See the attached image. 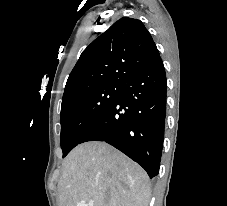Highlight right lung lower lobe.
<instances>
[{"label":"right lung lower lobe","mask_w":227,"mask_h":206,"mask_svg":"<svg viewBox=\"0 0 227 206\" xmlns=\"http://www.w3.org/2000/svg\"><path fill=\"white\" fill-rule=\"evenodd\" d=\"M166 84L161 58L128 76L117 100L81 143L105 141L141 165L150 178L156 176L164 138Z\"/></svg>","instance_id":"obj_1"}]
</instances>
